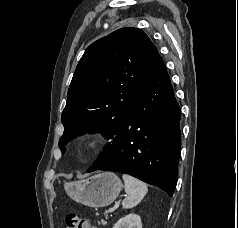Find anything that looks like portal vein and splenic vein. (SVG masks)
<instances>
[{
    "instance_id": "portal-vein-and-splenic-vein-1",
    "label": "portal vein and splenic vein",
    "mask_w": 238,
    "mask_h": 228,
    "mask_svg": "<svg viewBox=\"0 0 238 228\" xmlns=\"http://www.w3.org/2000/svg\"><path fill=\"white\" fill-rule=\"evenodd\" d=\"M115 210V208H111V209H109V213H112L113 211Z\"/></svg>"
}]
</instances>
